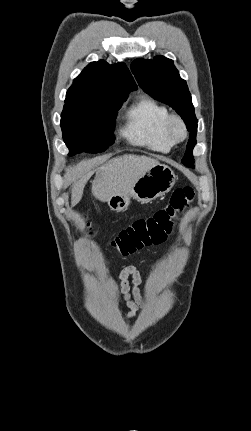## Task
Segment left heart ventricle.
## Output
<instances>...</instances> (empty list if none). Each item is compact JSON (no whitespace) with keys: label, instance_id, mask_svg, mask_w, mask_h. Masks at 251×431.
<instances>
[{"label":"left heart ventricle","instance_id":"1","mask_svg":"<svg viewBox=\"0 0 251 431\" xmlns=\"http://www.w3.org/2000/svg\"><path fill=\"white\" fill-rule=\"evenodd\" d=\"M177 133H178V134H180V133H181L179 128H177Z\"/></svg>","mask_w":251,"mask_h":431}]
</instances>
